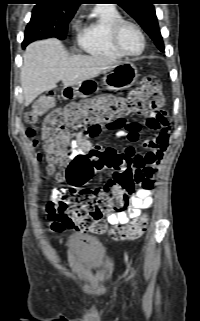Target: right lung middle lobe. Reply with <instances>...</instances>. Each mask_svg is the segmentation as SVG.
<instances>
[{
  "label": "right lung middle lobe",
  "mask_w": 200,
  "mask_h": 321,
  "mask_svg": "<svg viewBox=\"0 0 200 321\" xmlns=\"http://www.w3.org/2000/svg\"><path fill=\"white\" fill-rule=\"evenodd\" d=\"M74 14L75 11L59 13L45 6H35L25 30L23 47L38 39L49 37L65 39L68 24Z\"/></svg>",
  "instance_id": "obj_1"
}]
</instances>
